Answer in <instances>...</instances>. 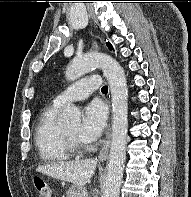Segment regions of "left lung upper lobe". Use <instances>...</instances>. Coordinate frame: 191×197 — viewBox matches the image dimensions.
<instances>
[{"label":"left lung upper lobe","mask_w":191,"mask_h":197,"mask_svg":"<svg viewBox=\"0 0 191 197\" xmlns=\"http://www.w3.org/2000/svg\"><path fill=\"white\" fill-rule=\"evenodd\" d=\"M107 46L109 47L110 50L112 49V46L110 43H107Z\"/></svg>","instance_id":"left-lung-upper-lobe-1"}]
</instances>
